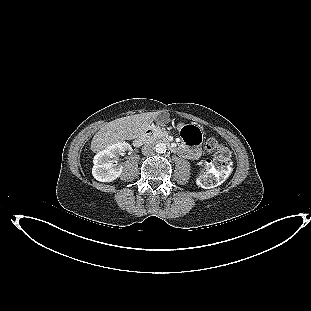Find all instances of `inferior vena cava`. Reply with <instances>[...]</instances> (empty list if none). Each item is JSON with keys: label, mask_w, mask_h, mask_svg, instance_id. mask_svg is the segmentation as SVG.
Listing matches in <instances>:
<instances>
[{"label": "inferior vena cava", "mask_w": 311, "mask_h": 311, "mask_svg": "<svg viewBox=\"0 0 311 311\" xmlns=\"http://www.w3.org/2000/svg\"><path fill=\"white\" fill-rule=\"evenodd\" d=\"M155 151V147L152 144H145L142 147V153L144 155H152Z\"/></svg>", "instance_id": "inferior-vena-cava-1"}]
</instances>
